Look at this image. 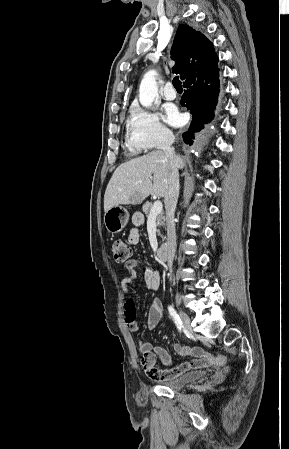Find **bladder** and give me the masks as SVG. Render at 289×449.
I'll use <instances>...</instances> for the list:
<instances>
[{"mask_svg": "<svg viewBox=\"0 0 289 449\" xmlns=\"http://www.w3.org/2000/svg\"><path fill=\"white\" fill-rule=\"evenodd\" d=\"M206 376V372L202 370L190 371L185 373L179 377L168 379V380H159L157 383L163 387L172 389V390H182L190 385L199 382Z\"/></svg>", "mask_w": 289, "mask_h": 449, "instance_id": "bladder-1", "label": "bladder"}]
</instances>
